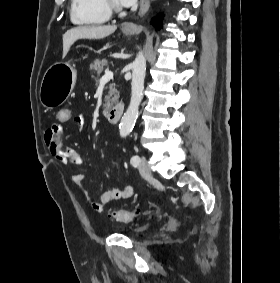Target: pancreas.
<instances>
[{
  "mask_svg": "<svg viewBox=\"0 0 280 283\" xmlns=\"http://www.w3.org/2000/svg\"><path fill=\"white\" fill-rule=\"evenodd\" d=\"M108 65V62L105 59H96L90 64V70L93 71L94 74H96V77L92 75L91 77L94 78L95 80V85L98 86L100 79L99 76L100 74L104 71L105 67ZM105 88H108L106 86ZM119 99V93L117 89L115 88V84H109V92L105 96V104L103 105L104 107V112L108 111L110 107L112 106L113 103H116Z\"/></svg>",
  "mask_w": 280,
  "mask_h": 283,
  "instance_id": "1",
  "label": "pancreas"
}]
</instances>
